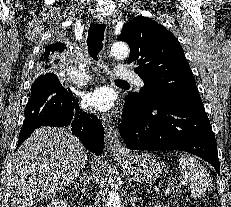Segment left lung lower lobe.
Here are the masks:
<instances>
[{
	"mask_svg": "<svg viewBox=\"0 0 231 207\" xmlns=\"http://www.w3.org/2000/svg\"><path fill=\"white\" fill-rule=\"evenodd\" d=\"M119 132L129 149L186 151L219 174L216 140L201 98L144 107L125 101Z\"/></svg>",
	"mask_w": 231,
	"mask_h": 207,
	"instance_id": "0a47b994",
	"label": "left lung lower lobe"
}]
</instances>
